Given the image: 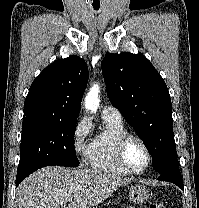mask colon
Here are the masks:
<instances>
[{"label":"colon","mask_w":199,"mask_h":208,"mask_svg":"<svg viewBox=\"0 0 199 208\" xmlns=\"http://www.w3.org/2000/svg\"><path fill=\"white\" fill-rule=\"evenodd\" d=\"M147 208H165V205L161 202L151 201Z\"/></svg>","instance_id":"1"}]
</instances>
